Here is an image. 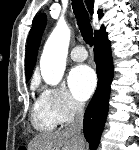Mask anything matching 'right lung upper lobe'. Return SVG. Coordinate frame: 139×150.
<instances>
[{
    "label": "right lung upper lobe",
    "mask_w": 139,
    "mask_h": 150,
    "mask_svg": "<svg viewBox=\"0 0 139 150\" xmlns=\"http://www.w3.org/2000/svg\"><path fill=\"white\" fill-rule=\"evenodd\" d=\"M86 4L89 12L93 14L94 0H86ZM98 15L99 18L103 16L101 10H98ZM45 25H46V16L45 14H41L35 19L32 29L29 33L26 56H25V68H26L27 81L30 79L33 68L36 63L38 47L41 41V36Z\"/></svg>",
    "instance_id": "1"
}]
</instances>
